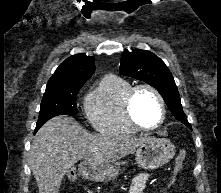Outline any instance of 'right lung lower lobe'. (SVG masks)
<instances>
[{
  "instance_id": "obj_1",
  "label": "right lung lower lobe",
  "mask_w": 221,
  "mask_h": 193,
  "mask_svg": "<svg viewBox=\"0 0 221 193\" xmlns=\"http://www.w3.org/2000/svg\"><path fill=\"white\" fill-rule=\"evenodd\" d=\"M41 126H42V125H41ZM41 126H38V125H37L34 133H36Z\"/></svg>"
}]
</instances>
